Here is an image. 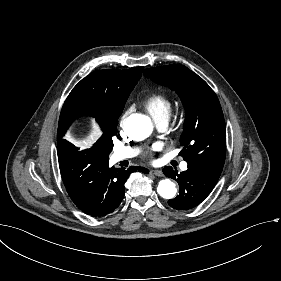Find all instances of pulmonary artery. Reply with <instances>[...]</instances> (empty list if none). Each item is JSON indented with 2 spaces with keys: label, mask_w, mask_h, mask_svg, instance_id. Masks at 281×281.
<instances>
[{
  "label": "pulmonary artery",
  "mask_w": 281,
  "mask_h": 281,
  "mask_svg": "<svg viewBox=\"0 0 281 281\" xmlns=\"http://www.w3.org/2000/svg\"><path fill=\"white\" fill-rule=\"evenodd\" d=\"M156 121H157V124L163 128L167 123V118L162 117V118L156 119ZM135 154H136V152L134 149L122 148V147L115 148L111 155V161L113 163H116V162H119V161H122L125 159H129V158L135 156ZM187 167H188V164L186 162H183L181 164L182 170H186Z\"/></svg>",
  "instance_id": "e3ab8cb5"
}]
</instances>
